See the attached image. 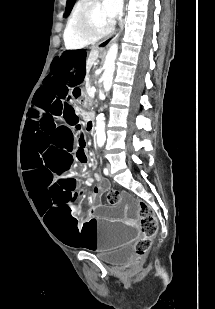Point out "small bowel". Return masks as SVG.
<instances>
[{
    "label": "small bowel",
    "instance_id": "1",
    "mask_svg": "<svg viewBox=\"0 0 215 309\" xmlns=\"http://www.w3.org/2000/svg\"><path fill=\"white\" fill-rule=\"evenodd\" d=\"M101 194H102V187L101 186H96L91 190V195H92L94 201H98L101 197Z\"/></svg>",
    "mask_w": 215,
    "mask_h": 309
}]
</instances>
